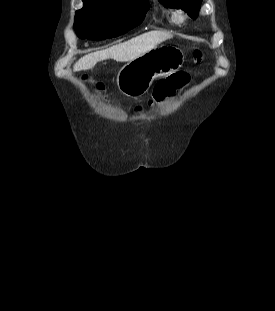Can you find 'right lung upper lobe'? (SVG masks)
<instances>
[{
  "label": "right lung upper lobe",
  "instance_id": "cb5924a9",
  "mask_svg": "<svg viewBox=\"0 0 275 311\" xmlns=\"http://www.w3.org/2000/svg\"><path fill=\"white\" fill-rule=\"evenodd\" d=\"M118 1H125V0H83V3L87 4L90 2H118Z\"/></svg>",
  "mask_w": 275,
  "mask_h": 311
}]
</instances>
